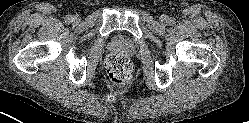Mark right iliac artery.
Returning <instances> with one entry per match:
<instances>
[{
    "label": "right iliac artery",
    "instance_id": "82829eb1",
    "mask_svg": "<svg viewBox=\"0 0 249 123\" xmlns=\"http://www.w3.org/2000/svg\"><path fill=\"white\" fill-rule=\"evenodd\" d=\"M72 20H73V17H72L71 15H67V16L65 17V22H67V23L72 22Z\"/></svg>",
    "mask_w": 249,
    "mask_h": 123
}]
</instances>
